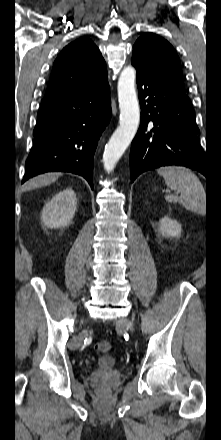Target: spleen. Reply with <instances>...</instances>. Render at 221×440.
Segmentation results:
<instances>
[{
    "mask_svg": "<svg viewBox=\"0 0 221 440\" xmlns=\"http://www.w3.org/2000/svg\"><path fill=\"white\" fill-rule=\"evenodd\" d=\"M165 184L180 196L167 195L166 201L180 203L187 210L204 214L206 212V192L198 177L188 168L165 166L157 170Z\"/></svg>",
    "mask_w": 221,
    "mask_h": 440,
    "instance_id": "spleen-1",
    "label": "spleen"
}]
</instances>
